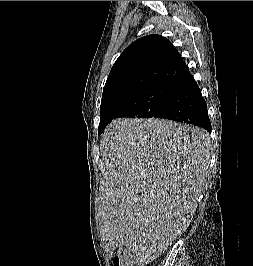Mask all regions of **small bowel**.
I'll list each match as a JSON object with an SVG mask.
<instances>
[{"mask_svg": "<svg viewBox=\"0 0 253 266\" xmlns=\"http://www.w3.org/2000/svg\"><path fill=\"white\" fill-rule=\"evenodd\" d=\"M130 254V253H129ZM131 255V254H130ZM131 258L133 259V262H134V258H133V256L131 255Z\"/></svg>", "mask_w": 253, "mask_h": 266, "instance_id": "small-bowel-1", "label": "small bowel"}]
</instances>
